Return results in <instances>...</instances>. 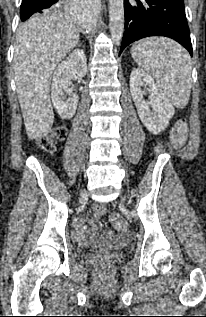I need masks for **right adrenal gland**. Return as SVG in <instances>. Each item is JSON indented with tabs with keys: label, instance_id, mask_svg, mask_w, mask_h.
<instances>
[{
	"label": "right adrenal gland",
	"instance_id": "2a0ac1e0",
	"mask_svg": "<svg viewBox=\"0 0 206 317\" xmlns=\"http://www.w3.org/2000/svg\"><path fill=\"white\" fill-rule=\"evenodd\" d=\"M77 46H78V47H80V46H81V44H79V43H78V45H77Z\"/></svg>",
	"mask_w": 206,
	"mask_h": 317
}]
</instances>
